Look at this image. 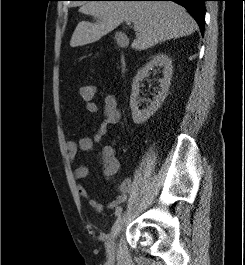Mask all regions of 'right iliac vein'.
<instances>
[{
  "label": "right iliac vein",
  "mask_w": 245,
  "mask_h": 265,
  "mask_svg": "<svg viewBox=\"0 0 245 265\" xmlns=\"http://www.w3.org/2000/svg\"><path fill=\"white\" fill-rule=\"evenodd\" d=\"M125 220H126L125 213L119 215V217L117 218V220L115 221V223L111 228V232L106 242V253L109 260H114L115 258V240L120 230L122 229Z\"/></svg>",
  "instance_id": "63e3f726"
}]
</instances>
